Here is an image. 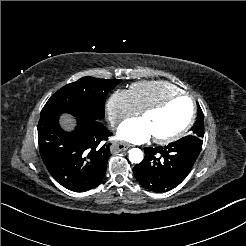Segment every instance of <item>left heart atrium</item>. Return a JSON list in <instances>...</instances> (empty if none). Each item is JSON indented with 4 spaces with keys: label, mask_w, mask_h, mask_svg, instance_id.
Masks as SVG:
<instances>
[{
    "label": "left heart atrium",
    "mask_w": 246,
    "mask_h": 246,
    "mask_svg": "<svg viewBox=\"0 0 246 246\" xmlns=\"http://www.w3.org/2000/svg\"><path fill=\"white\" fill-rule=\"evenodd\" d=\"M118 137L131 143H144L152 134L141 119H129L124 121L118 128Z\"/></svg>",
    "instance_id": "obj_1"
}]
</instances>
